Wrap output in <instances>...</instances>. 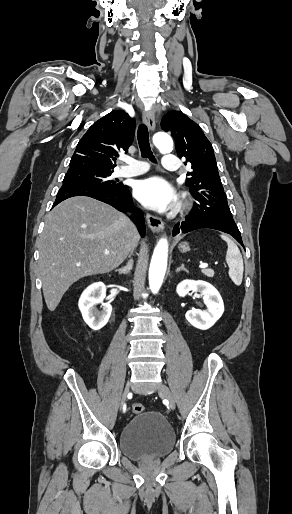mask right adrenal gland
Listing matches in <instances>:
<instances>
[{"label": "right adrenal gland", "mask_w": 292, "mask_h": 514, "mask_svg": "<svg viewBox=\"0 0 292 514\" xmlns=\"http://www.w3.org/2000/svg\"><path fill=\"white\" fill-rule=\"evenodd\" d=\"M130 260H128L126 266L124 268H120V270H116V272H119V274H126V276H129L130 270L133 268V260L131 256H129Z\"/></svg>", "instance_id": "right-adrenal-gland-1"}]
</instances>
